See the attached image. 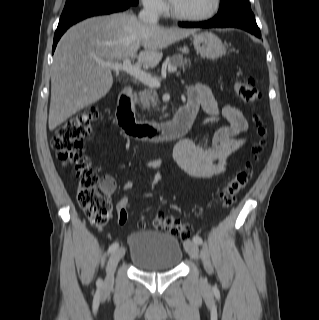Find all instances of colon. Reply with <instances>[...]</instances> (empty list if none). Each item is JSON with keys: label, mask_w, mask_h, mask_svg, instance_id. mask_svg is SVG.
I'll return each mask as SVG.
<instances>
[{"label": "colon", "mask_w": 319, "mask_h": 320, "mask_svg": "<svg viewBox=\"0 0 319 320\" xmlns=\"http://www.w3.org/2000/svg\"><path fill=\"white\" fill-rule=\"evenodd\" d=\"M234 90L245 103L254 104L261 97L260 90L252 79L236 81ZM98 115V111L92 107L74 115L56 130L51 144L58 157L73 166L74 174L79 179L77 199L88 220L95 226H102L106 225L111 218L110 194L114 191L115 184L111 177H100L94 172L82 149L83 141L91 134L92 125ZM257 125L258 134L263 137L266 134V128L262 123ZM263 148V141L253 144L251 153L254 159L259 157ZM251 176L250 163L236 171L220 191L223 206L228 207L233 203L236 194L248 184ZM127 219L128 211L118 213V222L121 225L125 224ZM146 225L145 219H140L137 223L139 228H144ZM151 225L157 230L167 231L184 239L192 235L191 227L173 216L155 215L151 219Z\"/></svg>", "instance_id": "5ec220e1"}]
</instances>
